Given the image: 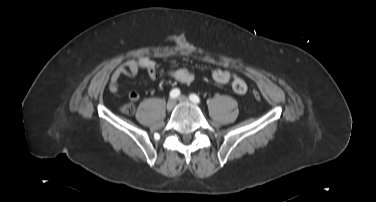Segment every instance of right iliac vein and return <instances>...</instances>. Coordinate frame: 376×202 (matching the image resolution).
<instances>
[{
    "label": "right iliac vein",
    "instance_id": "63e3f726",
    "mask_svg": "<svg viewBox=\"0 0 376 202\" xmlns=\"http://www.w3.org/2000/svg\"><path fill=\"white\" fill-rule=\"evenodd\" d=\"M175 100L174 99H170L168 102H167V105H166V108L168 111H171L174 106H175Z\"/></svg>",
    "mask_w": 376,
    "mask_h": 202
}]
</instances>
